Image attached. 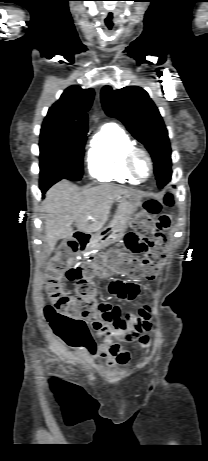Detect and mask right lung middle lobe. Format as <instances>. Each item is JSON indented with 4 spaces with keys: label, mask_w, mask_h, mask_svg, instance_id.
I'll list each match as a JSON object with an SVG mask.
<instances>
[{
    "label": "right lung middle lobe",
    "mask_w": 208,
    "mask_h": 461,
    "mask_svg": "<svg viewBox=\"0 0 208 461\" xmlns=\"http://www.w3.org/2000/svg\"><path fill=\"white\" fill-rule=\"evenodd\" d=\"M86 135L43 124L40 132V186L55 180L78 181L82 178Z\"/></svg>",
    "instance_id": "1"
}]
</instances>
